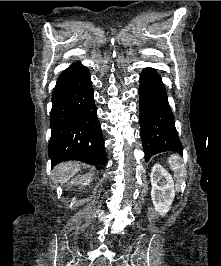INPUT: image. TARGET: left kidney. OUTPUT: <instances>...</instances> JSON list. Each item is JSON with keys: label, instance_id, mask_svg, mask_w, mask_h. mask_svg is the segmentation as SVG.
I'll use <instances>...</instances> for the list:
<instances>
[{"label": "left kidney", "instance_id": "left-kidney-1", "mask_svg": "<svg viewBox=\"0 0 221 266\" xmlns=\"http://www.w3.org/2000/svg\"><path fill=\"white\" fill-rule=\"evenodd\" d=\"M151 199L155 208L161 216L170 209L175 197L174 181L172 176L160 164H155L150 175Z\"/></svg>", "mask_w": 221, "mask_h": 266}]
</instances>
